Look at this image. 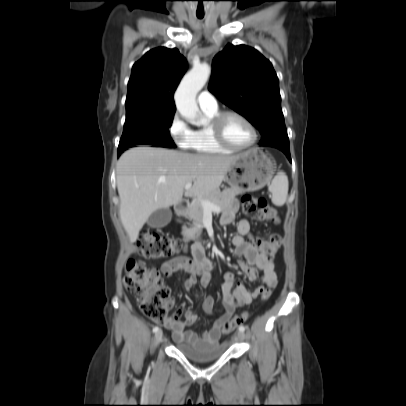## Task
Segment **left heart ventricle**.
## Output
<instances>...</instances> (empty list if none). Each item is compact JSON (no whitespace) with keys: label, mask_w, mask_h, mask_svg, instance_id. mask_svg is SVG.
<instances>
[{"label":"left heart ventricle","mask_w":406,"mask_h":406,"mask_svg":"<svg viewBox=\"0 0 406 406\" xmlns=\"http://www.w3.org/2000/svg\"><path fill=\"white\" fill-rule=\"evenodd\" d=\"M223 130L227 141L235 146H246L253 138L250 128L235 116L226 118Z\"/></svg>","instance_id":"1"}]
</instances>
